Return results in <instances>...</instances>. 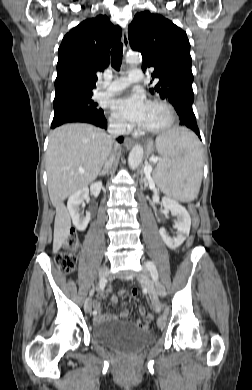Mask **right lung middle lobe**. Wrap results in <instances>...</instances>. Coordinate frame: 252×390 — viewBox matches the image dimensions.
Returning <instances> with one entry per match:
<instances>
[{"label":"right lung middle lobe","instance_id":"1","mask_svg":"<svg viewBox=\"0 0 252 390\" xmlns=\"http://www.w3.org/2000/svg\"><path fill=\"white\" fill-rule=\"evenodd\" d=\"M92 94L78 95L62 100L54 101V112L61 110H83L92 113H103L101 108H98V104L91 100Z\"/></svg>","mask_w":252,"mask_h":390}]
</instances>
